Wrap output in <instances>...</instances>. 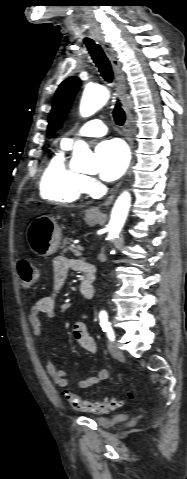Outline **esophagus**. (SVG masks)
Segmentation results:
<instances>
[{
  "instance_id": "34e87169",
  "label": "esophagus",
  "mask_w": 187,
  "mask_h": 479,
  "mask_svg": "<svg viewBox=\"0 0 187 479\" xmlns=\"http://www.w3.org/2000/svg\"><path fill=\"white\" fill-rule=\"evenodd\" d=\"M101 44L104 48V51H105L111 65H112L113 71L115 73V77H116V81H117V89H118V92L120 94L124 110L126 112V121H125V124H124V132H125V136H126V139L128 141V144H129V147H130V150H131V154H132L133 153L132 115H131L129 105H128V102H127V84H126L125 74L122 70L121 63L118 60L117 55H116L113 47L109 43H107L103 40H101ZM120 185H121V183L117 184L116 188L113 190L112 194L109 196V198L106 200V202L104 204H102L101 206L90 208L89 212L93 213V214H101V207L102 206L108 207L109 205H111V203L113 202Z\"/></svg>"
}]
</instances>
